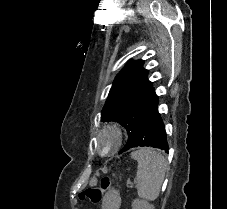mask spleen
<instances>
[{"label":"spleen","mask_w":227,"mask_h":209,"mask_svg":"<svg viewBox=\"0 0 227 209\" xmlns=\"http://www.w3.org/2000/svg\"><path fill=\"white\" fill-rule=\"evenodd\" d=\"M131 159L137 161V189L138 197L146 201H154L160 195L164 181L167 163L165 157L155 149H144L131 153Z\"/></svg>","instance_id":"1"}]
</instances>
